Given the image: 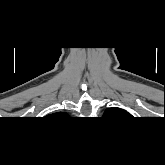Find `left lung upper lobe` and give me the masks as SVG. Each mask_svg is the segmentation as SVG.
<instances>
[{
	"instance_id": "1",
	"label": "left lung upper lobe",
	"mask_w": 165,
	"mask_h": 165,
	"mask_svg": "<svg viewBox=\"0 0 165 165\" xmlns=\"http://www.w3.org/2000/svg\"><path fill=\"white\" fill-rule=\"evenodd\" d=\"M124 114L127 115L128 113L120 108L112 107L105 111L104 116L107 115L108 117H114V116H121Z\"/></svg>"
}]
</instances>
